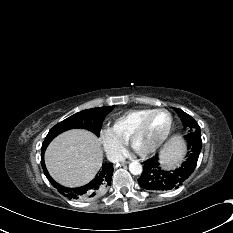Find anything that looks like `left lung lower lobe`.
<instances>
[{
  "instance_id": "left-lung-lower-lobe-1",
  "label": "left lung lower lobe",
  "mask_w": 233,
  "mask_h": 233,
  "mask_svg": "<svg viewBox=\"0 0 233 233\" xmlns=\"http://www.w3.org/2000/svg\"><path fill=\"white\" fill-rule=\"evenodd\" d=\"M201 144L187 146L186 161L175 170H163L156 155L144 162L143 172L138 179L139 185L150 191H167L178 188L195 170L201 151Z\"/></svg>"
}]
</instances>
